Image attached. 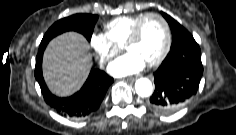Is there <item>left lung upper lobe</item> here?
<instances>
[{"label":"left lung upper lobe","mask_w":236,"mask_h":135,"mask_svg":"<svg viewBox=\"0 0 236 135\" xmlns=\"http://www.w3.org/2000/svg\"><path fill=\"white\" fill-rule=\"evenodd\" d=\"M161 13H162L163 17L167 20L168 23L175 21L172 17H170L166 13H164V12H161ZM188 36H189V38L194 39L189 32H188Z\"/></svg>","instance_id":"left-lung-upper-lobe-1"}]
</instances>
